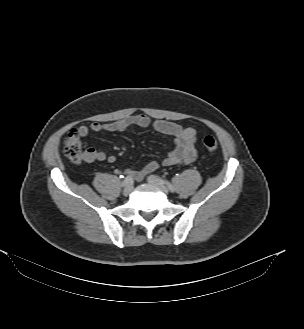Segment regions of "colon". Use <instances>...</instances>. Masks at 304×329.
Returning a JSON list of instances; mask_svg holds the SVG:
<instances>
[{
	"label": "colon",
	"instance_id": "colon-1",
	"mask_svg": "<svg viewBox=\"0 0 304 329\" xmlns=\"http://www.w3.org/2000/svg\"><path fill=\"white\" fill-rule=\"evenodd\" d=\"M81 137L78 129L73 128L64 140V153L73 162H80L83 159V143ZM203 144L208 151L214 152L218 149L217 140L213 136H206L203 139Z\"/></svg>",
	"mask_w": 304,
	"mask_h": 329
}]
</instances>
